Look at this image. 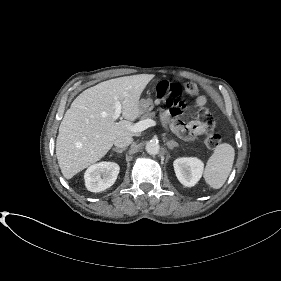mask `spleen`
<instances>
[{
  "label": "spleen",
  "mask_w": 281,
  "mask_h": 281,
  "mask_svg": "<svg viewBox=\"0 0 281 281\" xmlns=\"http://www.w3.org/2000/svg\"><path fill=\"white\" fill-rule=\"evenodd\" d=\"M234 157L235 150L230 144L222 143L216 146L204 171V179L211 188L219 189L226 182L232 170Z\"/></svg>",
  "instance_id": "3e777b00"
}]
</instances>
